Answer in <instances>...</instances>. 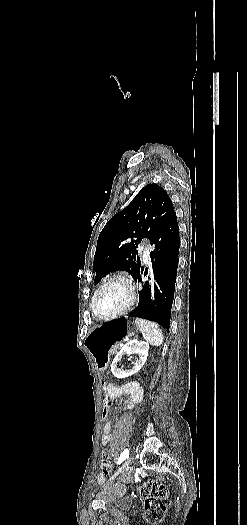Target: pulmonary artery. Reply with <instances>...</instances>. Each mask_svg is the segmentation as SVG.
Instances as JSON below:
<instances>
[{
	"instance_id": "1",
	"label": "pulmonary artery",
	"mask_w": 247,
	"mask_h": 525,
	"mask_svg": "<svg viewBox=\"0 0 247 525\" xmlns=\"http://www.w3.org/2000/svg\"><path fill=\"white\" fill-rule=\"evenodd\" d=\"M140 251V257L141 259L143 260V264L145 266H150L152 264V259L150 258L151 257V247H150V244H149V239L147 238H144L142 240V243H141V246L140 248L138 249Z\"/></svg>"
}]
</instances>
